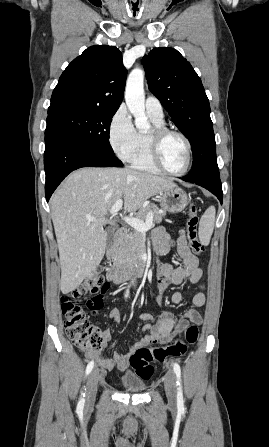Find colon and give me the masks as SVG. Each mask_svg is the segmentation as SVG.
I'll use <instances>...</instances> for the list:
<instances>
[{
	"instance_id": "5ec220e1",
	"label": "colon",
	"mask_w": 269,
	"mask_h": 447,
	"mask_svg": "<svg viewBox=\"0 0 269 447\" xmlns=\"http://www.w3.org/2000/svg\"><path fill=\"white\" fill-rule=\"evenodd\" d=\"M188 213L186 226L189 245L195 254L201 255L204 252V246L198 239L199 209L195 204H190ZM104 291L105 277L99 273H93L61 298L60 305L65 317L64 327L67 335L74 346L81 351L100 350L103 337L109 336L107 331L101 333L82 308V302H86L87 309L94 314L102 305L99 297ZM197 338L198 327L196 324H191L184 330V340H176L165 346L137 348L130 356V365L137 376L145 380L151 379L155 374L152 362H163L167 358L184 356L188 344L195 343Z\"/></svg>"
}]
</instances>
